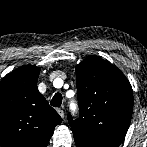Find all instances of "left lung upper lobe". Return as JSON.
<instances>
[{
    "mask_svg": "<svg viewBox=\"0 0 147 147\" xmlns=\"http://www.w3.org/2000/svg\"><path fill=\"white\" fill-rule=\"evenodd\" d=\"M80 107L68 114L76 147H118L131 121L133 91L125 75L104 59L90 55L76 66Z\"/></svg>",
    "mask_w": 147,
    "mask_h": 147,
    "instance_id": "obj_1",
    "label": "left lung upper lobe"
}]
</instances>
